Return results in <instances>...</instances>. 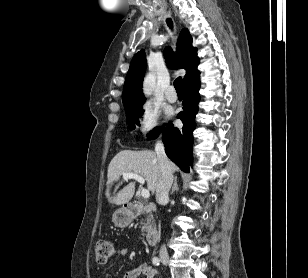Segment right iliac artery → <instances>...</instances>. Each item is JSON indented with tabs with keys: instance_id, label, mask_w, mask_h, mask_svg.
<instances>
[{
	"instance_id": "obj_1",
	"label": "right iliac artery",
	"mask_w": 308,
	"mask_h": 278,
	"mask_svg": "<svg viewBox=\"0 0 308 278\" xmlns=\"http://www.w3.org/2000/svg\"><path fill=\"white\" fill-rule=\"evenodd\" d=\"M152 263H153L155 266H159V264H160L159 258H158V257H154V258L152 259Z\"/></svg>"
}]
</instances>
